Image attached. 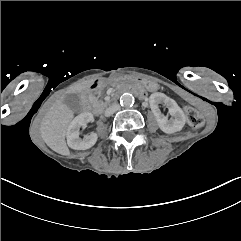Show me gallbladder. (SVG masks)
I'll use <instances>...</instances> for the list:
<instances>
[{
	"mask_svg": "<svg viewBox=\"0 0 241 241\" xmlns=\"http://www.w3.org/2000/svg\"><path fill=\"white\" fill-rule=\"evenodd\" d=\"M65 102L68 104L69 109L73 112H78L83 107V102L77 94L66 95Z\"/></svg>",
	"mask_w": 241,
	"mask_h": 241,
	"instance_id": "bac80fb5",
	"label": "gallbladder"
}]
</instances>
